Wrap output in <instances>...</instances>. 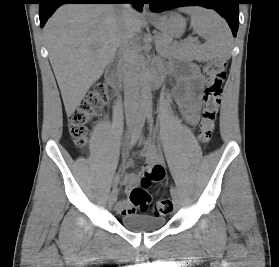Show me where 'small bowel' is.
Here are the masks:
<instances>
[{
    "instance_id": "c3829d8e",
    "label": "small bowel",
    "mask_w": 279,
    "mask_h": 267,
    "mask_svg": "<svg viewBox=\"0 0 279 267\" xmlns=\"http://www.w3.org/2000/svg\"><path fill=\"white\" fill-rule=\"evenodd\" d=\"M169 71L177 77V86L174 94L179 102L181 112L189 124L195 125L198 121L201 107L198 91L204 86V79L193 64H186L179 68L170 67ZM142 155L149 167H156L164 171L162 159L152 143L149 142L145 145ZM126 166L130 168L133 166V163L129 161ZM124 183L126 192L130 193L138 183V176L134 173H126ZM135 209L136 207H134L130 200H121L116 204V210L121 215L135 213Z\"/></svg>"
}]
</instances>
